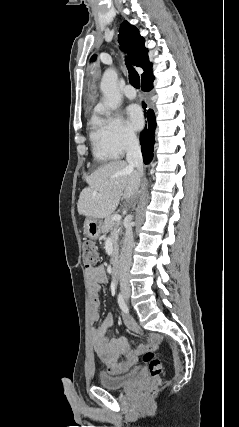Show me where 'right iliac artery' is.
Listing matches in <instances>:
<instances>
[{
    "mask_svg": "<svg viewBox=\"0 0 239 427\" xmlns=\"http://www.w3.org/2000/svg\"><path fill=\"white\" fill-rule=\"evenodd\" d=\"M118 304L124 313H126V314L129 313L128 307H127L125 300L123 298V295L121 293H119V295H118Z\"/></svg>",
    "mask_w": 239,
    "mask_h": 427,
    "instance_id": "right-iliac-artery-1",
    "label": "right iliac artery"
}]
</instances>
